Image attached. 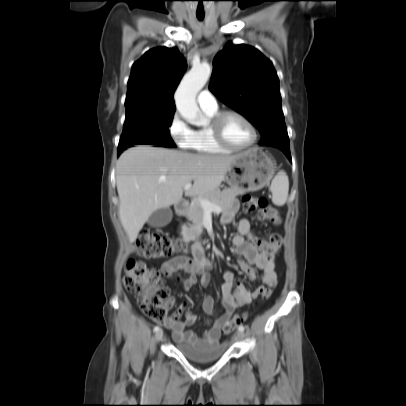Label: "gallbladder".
I'll list each match as a JSON object with an SVG mask.
<instances>
[{"label": "gallbladder", "instance_id": "bac80fb5", "mask_svg": "<svg viewBox=\"0 0 406 406\" xmlns=\"http://www.w3.org/2000/svg\"><path fill=\"white\" fill-rule=\"evenodd\" d=\"M172 210L169 207L156 210L148 219V224L153 227H163L172 220Z\"/></svg>", "mask_w": 406, "mask_h": 406}]
</instances>
